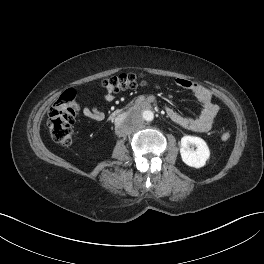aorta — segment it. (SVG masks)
<instances>
[{
    "instance_id": "aorta-1",
    "label": "aorta",
    "mask_w": 264,
    "mask_h": 264,
    "mask_svg": "<svg viewBox=\"0 0 264 264\" xmlns=\"http://www.w3.org/2000/svg\"><path fill=\"white\" fill-rule=\"evenodd\" d=\"M143 121L150 122L154 119V113L151 110H143L139 113Z\"/></svg>"
}]
</instances>
